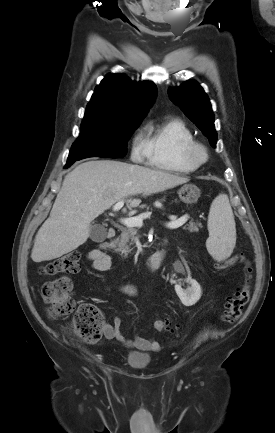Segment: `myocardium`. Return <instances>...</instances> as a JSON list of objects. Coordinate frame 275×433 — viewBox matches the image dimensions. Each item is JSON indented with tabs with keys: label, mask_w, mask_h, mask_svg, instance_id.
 <instances>
[{
	"label": "myocardium",
	"mask_w": 275,
	"mask_h": 433,
	"mask_svg": "<svg viewBox=\"0 0 275 433\" xmlns=\"http://www.w3.org/2000/svg\"><path fill=\"white\" fill-rule=\"evenodd\" d=\"M184 155L187 161L198 167L206 163L209 158L207 147L196 141L186 147Z\"/></svg>",
	"instance_id": "obj_1"
}]
</instances>
